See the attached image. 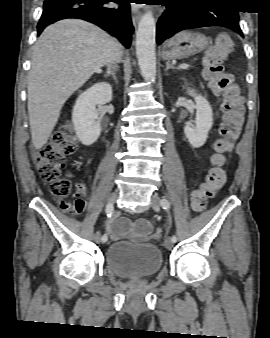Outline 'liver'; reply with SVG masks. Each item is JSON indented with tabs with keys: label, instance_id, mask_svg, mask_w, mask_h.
Instances as JSON below:
<instances>
[{
	"label": "liver",
	"instance_id": "1",
	"mask_svg": "<svg viewBox=\"0 0 270 338\" xmlns=\"http://www.w3.org/2000/svg\"><path fill=\"white\" fill-rule=\"evenodd\" d=\"M121 51L116 39L83 20H61L43 31L33 47L28 82L35 149L47 143L68 98Z\"/></svg>",
	"mask_w": 270,
	"mask_h": 338
}]
</instances>
